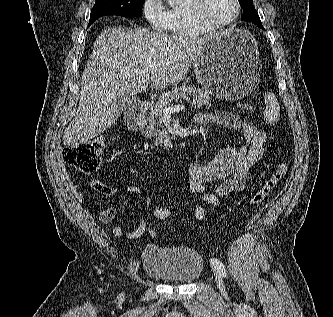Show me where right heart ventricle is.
Listing matches in <instances>:
<instances>
[{"mask_svg":"<svg viewBox=\"0 0 333 317\" xmlns=\"http://www.w3.org/2000/svg\"><path fill=\"white\" fill-rule=\"evenodd\" d=\"M187 0H180L178 4L167 10L168 24L166 31L176 38H194L204 32L191 21L186 9Z\"/></svg>","mask_w":333,"mask_h":317,"instance_id":"right-heart-ventricle-1","label":"right heart ventricle"}]
</instances>
